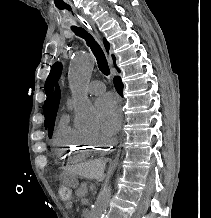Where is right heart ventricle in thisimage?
<instances>
[{"label":"right heart ventricle","instance_id":"1","mask_svg":"<svg viewBox=\"0 0 211 218\" xmlns=\"http://www.w3.org/2000/svg\"><path fill=\"white\" fill-rule=\"evenodd\" d=\"M55 137L58 144H54L53 148L59 157V165H75L78 160L104 154L108 144L96 142L87 133L71 127L66 114L58 120Z\"/></svg>","mask_w":211,"mask_h":218}]
</instances>
